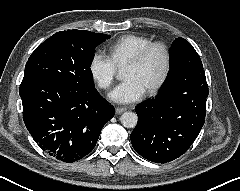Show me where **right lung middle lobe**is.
I'll use <instances>...</instances> for the list:
<instances>
[{"label":"right lung middle lobe","mask_w":240,"mask_h":191,"mask_svg":"<svg viewBox=\"0 0 240 191\" xmlns=\"http://www.w3.org/2000/svg\"><path fill=\"white\" fill-rule=\"evenodd\" d=\"M109 37L82 30L57 32L31 54L23 80H52L78 90H91L94 83L90 66L95 47Z\"/></svg>","instance_id":"1"}]
</instances>
